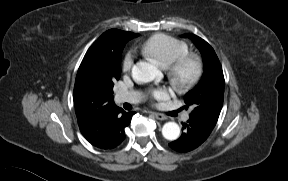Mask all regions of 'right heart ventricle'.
<instances>
[{
    "mask_svg": "<svg viewBox=\"0 0 288 181\" xmlns=\"http://www.w3.org/2000/svg\"><path fill=\"white\" fill-rule=\"evenodd\" d=\"M188 45L166 34H156L143 45L144 55L155 59L161 66L168 67L177 58L188 53Z\"/></svg>",
    "mask_w": 288,
    "mask_h": 181,
    "instance_id": "e07e8e85",
    "label": "right heart ventricle"
}]
</instances>
